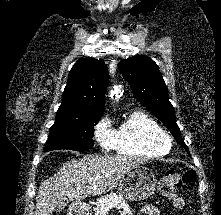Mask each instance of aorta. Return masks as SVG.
Segmentation results:
<instances>
[{"instance_id": "1", "label": "aorta", "mask_w": 221, "mask_h": 215, "mask_svg": "<svg viewBox=\"0 0 221 215\" xmlns=\"http://www.w3.org/2000/svg\"><path fill=\"white\" fill-rule=\"evenodd\" d=\"M118 93H119V89L115 87V88H114V91L112 92V94H115V95L117 96Z\"/></svg>"}]
</instances>
